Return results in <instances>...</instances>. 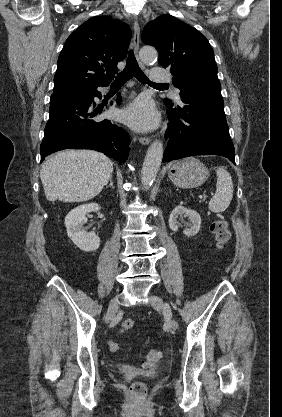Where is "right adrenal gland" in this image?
Wrapping results in <instances>:
<instances>
[{"label":"right adrenal gland","mask_w":282,"mask_h":417,"mask_svg":"<svg viewBox=\"0 0 282 417\" xmlns=\"http://www.w3.org/2000/svg\"><path fill=\"white\" fill-rule=\"evenodd\" d=\"M106 186H111V188H115V186L113 184L112 176H110V178H109V184H106Z\"/></svg>","instance_id":"2a0ac1e0"}]
</instances>
